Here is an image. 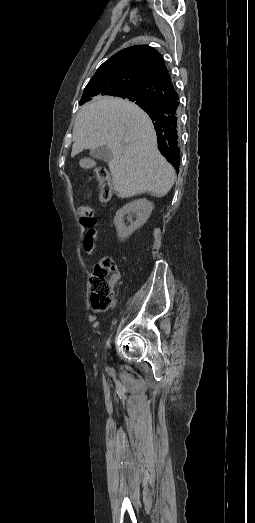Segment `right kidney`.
Segmentation results:
<instances>
[{
    "instance_id": "1",
    "label": "right kidney",
    "mask_w": 255,
    "mask_h": 523,
    "mask_svg": "<svg viewBox=\"0 0 255 523\" xmlns=\"http://www.w3.org/2000/svg\"><path fill=\"white\" fill-rule=\"evenodd\" d=\"M152 210L153 204L148 202L146 198H141V200H134V202H130V204H126V206L120 208V210L116 212V216L114 218V224L117 228L120 240H126V238L131 236L132 232H135V230L141 228V226L147 222ZM130 212H134V214H136V220L135 222H132L131 218H129L130 226H124L123 216H125V214H130Z\"/></svg>"
}]
</instances>
